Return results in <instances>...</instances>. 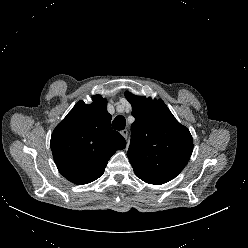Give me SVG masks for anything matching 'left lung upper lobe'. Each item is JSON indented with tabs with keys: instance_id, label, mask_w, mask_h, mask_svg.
<instances>
[{
	"instance_id": "1",
	"label": "left lung upper lobe",
	"mask_w": 248,
	"mask_h": 248,
	"mask_svg": "<svg viewBox=\"0 0 248 248\" xmlns=\"http://www.w3.org/2000/svg\"><path fill=\"white\" fill-rule=\"evenodd\" d=\"M132 105L131 142L127 152L138 178L161 185L175 178L193 151V138L165 103L125 93Z\"/></svg>"
}]
</instances>
